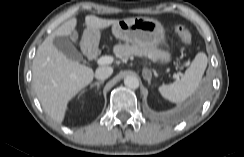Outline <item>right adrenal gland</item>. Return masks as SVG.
Masks as SVG:
<instances>
[{
	"mask_svg": "<svg viewBox=\"0 0 244 157\" xmlns=\"http://www.w3.org/2000/svg\"><path fill=\"white\" fill-rule=\"evenodd\" d=\"M103 83H104V81H97V82L91 84L90 89L93 88L94 86H97V90H99L100 85Z\"/></svg>",
	"mask_w": 244,
	"mask_h": 157,
	"instance_id": "2a0ac1e0",
	"label": "right adrenal gland"
}]
</instances>
